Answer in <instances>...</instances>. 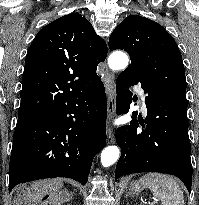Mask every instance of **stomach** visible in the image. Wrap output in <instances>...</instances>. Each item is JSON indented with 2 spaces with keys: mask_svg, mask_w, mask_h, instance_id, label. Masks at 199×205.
Wrapping results in <instances>:
<instances>
[{
  "mask_svg": "<svg viewBox=\"0 0 199 205\" xmlns=\"http://www.w3.org/2000/svg\"><path fill=\"white\" fill-rule=\"evenodd\" d=\"M131 189H132L133 191H135V192H140V191L143 189L142 183H140V182H134V183H132Z\"/></svg>",
  "mask_w": 199,
  "mask_h": 205,
  "instance_id": "0dacf381",
  "label": "stomach"
}]
</instances>
